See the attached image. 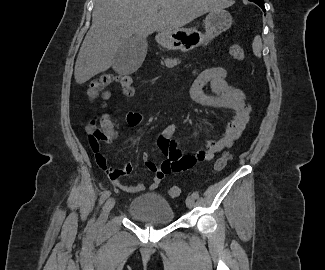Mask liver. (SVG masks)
I'll return each mask as SVG.
<instances>
[{
	"label": "liver",
	"mask_w": 325,
	"mask_h": 270,
	"mask_svg": "<svg viewBox=\"0 0 325 270\" xmlns=\"http://www.w3.org/2000/svg\"><path fill=\"white\" fill-rule=\"evenodd\" d=\"M232 4V0H96L92 25L76 60L75 80L83 84L108 70L132 35L176 33L202 14Z\"/></svg>",
	"instance_id": "liver-1"
}]
</instances>
